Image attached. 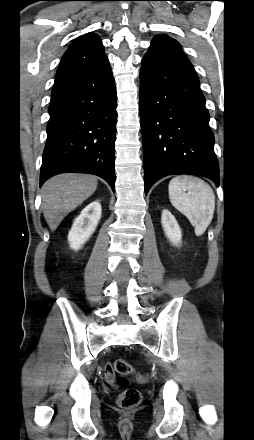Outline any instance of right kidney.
<instances>
[{
  "label": "right kidney",
  "instance_id": "right-kidney-1",
  "mask_svg": "<svg viewBox=\"0 0 254 440\" xmlns=\"http://www.w3.org/2000/svg\"><path fill=\"white\" fill-rule=\"evenodd\" d=\"M101 218V204L94 201L87 205L75 219L68 234L70 247L78 250L95 231Z\"/></svg>",
  "mask_w": 254,
  "mask_h": 440
}]
</instances>
